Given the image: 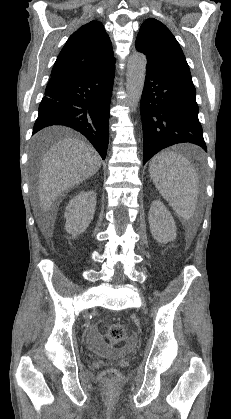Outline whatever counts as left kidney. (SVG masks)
<instances>
[{
  "label": "left kidney",
  "instance_id": "left-kidney-1",
  "mask_svg": "<svg viewBox=\"0 0 231 419\" xmlns=\"http://www.w3.org/2000/svg\"><path fill=\"white\" fill-rule=\"evenodd\" d=\"M149 225L152 236L161 244L176 239V225L171 213L160 200L151 203Z\"/></svg>",
  "mask_w": 231,
  "mask_h": 419
}]
</instances>
